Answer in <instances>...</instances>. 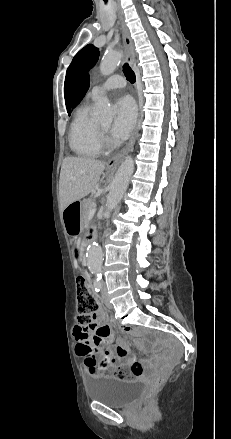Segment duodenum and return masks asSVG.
<instances>
[{"instance_id":"410a0bca","label":"duodenum","mask_w":231,"mask_h":439,"mask_svg":"<svg viewBox=\"0 0 231 439\" xmlns=\"http://www.w3.org/2000/svg\"><path fill=\"white\" fill-rule=\"evenodd\" d=\"M92 237H93V234L91 233V234H90V238H92Z\"/></svg>"}]
</instances>
